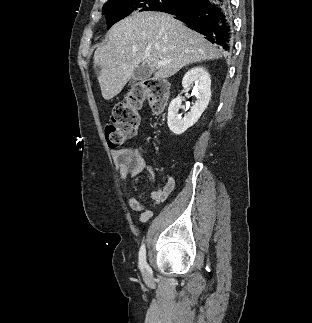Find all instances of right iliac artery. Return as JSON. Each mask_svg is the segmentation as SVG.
Returning a JSON list of instances; mask_svg holds the SVG:
<instances>
[{
	"label": "right iliac artery",
	"instance_id": "1",
	"mask_svg": "<svg viewBox=\"0 0 312 323\" xmlns=\"http://www.w3.org/2000/svg\"><path fill=\"white\" fill-rule=\"evenodd\" d=\"M139 267L141 268V270L147 267L146 249L144 244L141 246L139 251Z\"/></svg>",
	"mask_w": 312,
	"mask_h": 323
}]
</instances>
